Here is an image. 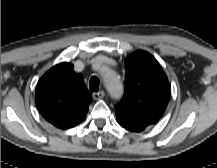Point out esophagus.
<instances>
[{"mask_svg": "<svg viewBox=\"0 0 217 168\" xmlns=\"http://www.w3.org/2000/svg\"><path fill=\"white\" fill-rule=\"evenodd\" d=\"M105 96V92L103 90L99 91V92H95L93 93V99L94 100H100Z\"/></svg>", "mask_w": 217, "mask_h": 168, "instance_id": "obj_1", "label": "esophagus"}]
</instances>
